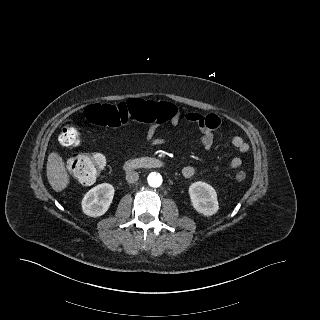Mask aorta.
Instances as JSON below:
<instances>
[{"label": "aorta", "instance_id": "762f6f07", "mask_svg": "<svg viewBox=\"0 0 320 320\" xmlns=\"http://www.w3.org/2000/svg\"><path fill=\"white\" fill-rule=\"evenodd\" d=\"M148 184L151 186V187H160L161 184H162V176L159 174V173H156V172H152L148 175Z\"/></svg>", "mask_w": 320, "mask_h": 320}]
</instances>
